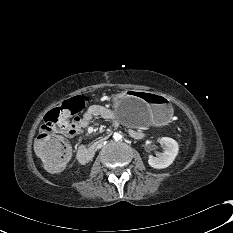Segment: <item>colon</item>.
I'll list each match as a JSON object with an SVG mask.
<instances>
[{"label": "colon", "mask_w": 233, "mask_h": 233, "mask_svg": "<svg viewBox=\"0 0 233 233\" xmlns=\"http://www.w3.org/2000/svg\"><path fill=\"white\" fill-rule=\"evenodd\" d=\"M86 105L87 100L84 96H75L46 114L35 142V150L47 170H62L72 157L70 142L65 137L55 134L54 126L75 117Z\"/></svg>", "instance_id": "1"}]
</instances>
